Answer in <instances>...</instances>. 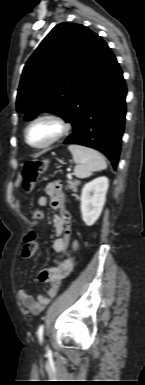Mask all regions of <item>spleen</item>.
I'll use <instances>...</instances> for the list:
<instances>
[{"label": "spleen", "instance_id": "obj_1", "mask_svg": "<svg viewBox=\"0 0 145 385\" xmlns=\"http://www.w3.org/2000/svg\"><path fill=\"white\" fill-rule=\"evenodd\" d=\"M76 163L74 175L78 178H87L92 172L104 170L107 163L102 154L98 151L78 144L68 146Z\"/></svg>", "mask_w": 145, "mask_h": 385}]
</instances>
